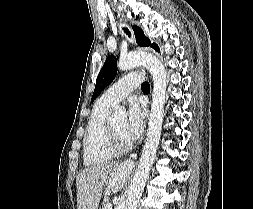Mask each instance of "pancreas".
<instances>
[{"label":"pancreas","instance_id":"obj_1","mask_svg":"<svg viewBox=\"0 0 253 209\" xmlns=\"http://www.w3.org/2000/svg\"><path fill=\"white\" fill-rule=\"evenodd\" d=\"M108 205H109V197L106 196L103 199L102 209H108Z\"/></svg>","mask_w":253,"mask_h":209}]
</instances>
